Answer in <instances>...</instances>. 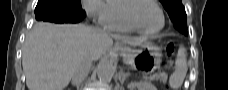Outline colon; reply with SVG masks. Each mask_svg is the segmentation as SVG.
<instances>
[{
    "instance_id": "obj_1",
    "label": "colon",
    "mask_w": 228,
    "mask_h": 90,
    "mask_svg": "<svg viewBox=\"0 0 228 90\" xmlns=\"http://www.w3.org/2000/svg\"><path fill=\"white\" fill-rule=\"evenodd\" d=\"M175 51V44L173 42L168 43L167 45V54L169 57H171L173 55Z\"/></svg>"
}]
</instances>
